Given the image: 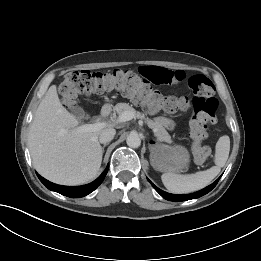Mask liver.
I'll use <instances>...</instances> for the list:
<instances>
[{"label":"liver","instance_id":"liver-1","mask_svg":"<svg viewBox=\"0 0 261 261\" xmlns=\"http://www.w3.org/2000/svg\"><path fill=\"white\" fill-rule=\"evenodd\" d=\"M79 123L60 103L56 85L50 86L28 134L33 166L44 178L74 186L97 176L103 155L98 141L102 130L78 131Z\"/></svg>","mask_w":261,"mask_h":261}]
</instances>
